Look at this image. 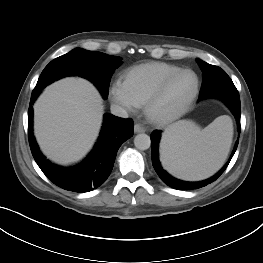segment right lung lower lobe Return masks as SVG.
Instances as JSON below:
<instances>
[{
	"label": "right lung lower lobe",
	"instance_id": "98d812e1",
	"mask_svg": "<svg viewBox=\"0 0 263 263\" xmlns=\"http://www.w3.org/2000/svg\"><path fill=\"white\" fill-rule=\"evenodd\" d=\"M40 92L33 90L28 110L29 144L36 163L48 179L65 190L83 193L96 189L110 175L119 147L133 136V121L105 114L98 142L87 158L74 167H59L46 160L33 135L32 104Z\"/></svg>",
	"mask_w": 263,
	"mask_h": 263
}]
</instances>
